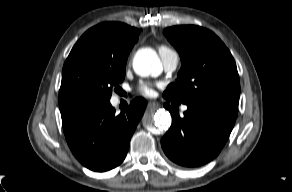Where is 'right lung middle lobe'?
Instances as JSON below:
<instances>
[{
  "instance_id": "obj_1",
  "label": "right lung middle lobe",
  "mask_w": 292,
  "mask_h": 192,
  "mask_svg": "<svg viewBox=\"0 0 292 192\" xmlns=\"http://www.w3.org/2000/svg\"><path fill=\"white\" fill-rule=\"evenodd\" d=\"M126 61L127 56L112 54L94 33L85 32L64 64L59 96L110 100L112 91L124 80Z\"/></svg>"
}]
</instances>
